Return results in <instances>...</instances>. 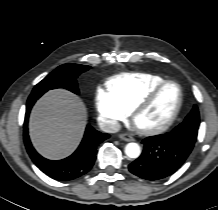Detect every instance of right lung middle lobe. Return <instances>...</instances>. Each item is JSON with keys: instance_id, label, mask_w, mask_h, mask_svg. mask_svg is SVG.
<instances>
[{"instance_id": "right-lung-middle-lobe-1", "label": "right lung middle lobe", "mask_w": 218, "mask_h": 210, "mask_svg": "<svg viewBox=\"0 0 218 210\" xmlns=\"http://www.w3.org/2000/svg\"><path fill=\"white\" fill-rule=\"evenodd\" d=\"M90 69V66L80 64H64L47 75L33 89L30 96L44 94L46 91L55 88H65L75 94L79 93L76 78Z\"/></svg>"}]
</instances>
